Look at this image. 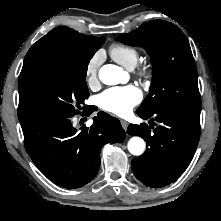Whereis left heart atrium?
Returning <instances> with one entry per match:
<instances>
[{
    "label": "left heart atrium",
    "mask_w": 221,
    "mask_h": 221,
    "mask_svg": "<svg viewBox=\"0 0 221 221\" xmlns=\"http://www.w3.org/2000/svg\"><path fill=\"white\" fill-rule=\"evenodd\" d=\"M142 99L141 91L134 85L111 87L102 92L98 105L105 111L118 116L127 115Z\"/></svg>",
    "instance_id": "39dd6f15"
}]
</instances>
